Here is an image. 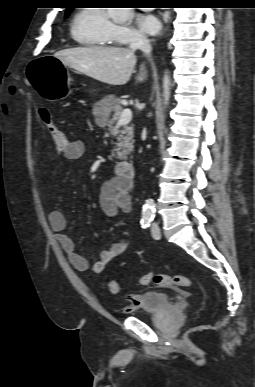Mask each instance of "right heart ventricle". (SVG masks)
<instances>
[{"label": "right heart ventricle", "mask_w": 255, "mask_h": 387, "mask_svg": "<svg viewBox=\"0 0 255 387\" xmlns=\"http://www.w3.org/2000/svg\"><path fill=\"white\" fill-rule=\"evenodd\" d=\"M111 21L107 11L98 7L79 10L70 23L71 37L80 45L107 46L113 42Z\"/></svg>", "instance_id": "1"}]
</instances>
